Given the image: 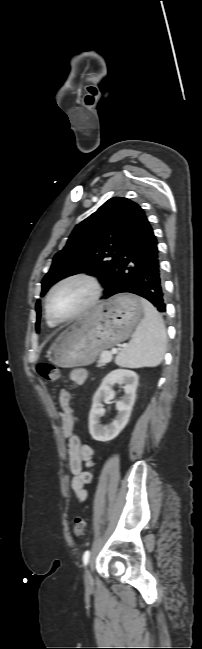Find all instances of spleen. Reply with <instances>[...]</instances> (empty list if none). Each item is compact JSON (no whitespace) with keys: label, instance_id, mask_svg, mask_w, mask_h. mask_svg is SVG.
Returning a JSON list of instances; mask_svg holds the SVG:
<instances>
[{"label":"spleen","instance_id":"1","mask_svg":"<svg viewBox=\"0 0 202 649\" xmlns=\"http://www.w3.org/2000/svg\"><path fill=\"white\" fill-rule=\"evenodd\" d=\"M141 303L144 318L138 324L131 342L115 359V363L120 367H154L163 360L167 342L163 319L149 301L141 299Z\"/></svg>","mask_w":202,"mask_h":649}]
</instances>
